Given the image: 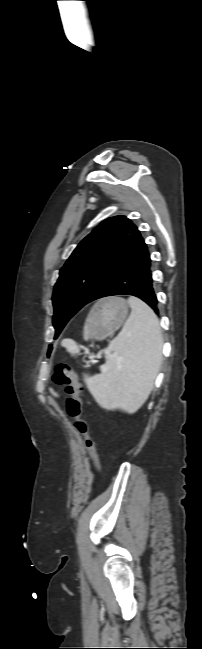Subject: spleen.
Here are the masks:
<instances>
[{"instance_id":"spleen-1","label":"spleen","mask_w":202,"mask_h":649,"mask_svg":"<svg viewBox=\"0 0 202 649\" xmlns=\"http://www.w3.org/2000/svg\"><path fill=\"white\" fill-rule=\"evenodd\" d=\"M128 304L131 314L110 342L108 361L99 375L85 376V383L100 406L134 413L151 392L163 339L153 310L137 297H130ZM62 346L71 355L79 354L81 348L71 339H64Z\"/></svg>"}]
</instances>
